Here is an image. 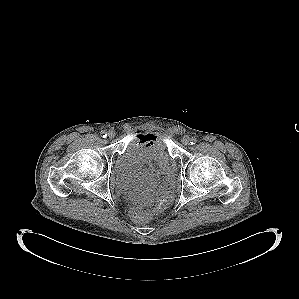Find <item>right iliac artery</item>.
<instances>
[{"label": "right iliac artery", "instance_id": "82829eb1", "mask_svg": "<svg viewBox=\"0 0 299 299\" xmlns=\"http://www.w3.org/2000/svg\"><path fill=\"white\" fill-rule=\"evenodd\" d=\"M101 135L103 138H105L107 136V133L105 131H102Z\"/></svg>", "mask_w": 299, "mask_h": 299}]
</instances>
